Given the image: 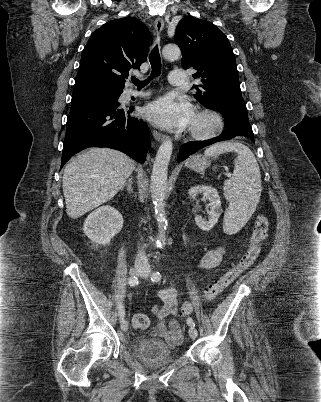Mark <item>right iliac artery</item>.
I'll use <instances>...</instances> for the list:
<instances>
[{
	"instance_id": "obj_1",
	"label": "right iliac artery",
	"mask_w": 321,
	"mask_h": 402,
	"mask_svg": "<svg viewBox=\"0 0 321 402\" xmlns=\"http://www.w3.org/2000/svg\"><path fill=\"white\" fill-rule=\"evenodd\" d=\"M128 284L130 286H136L138 284V278L135 277V276L130 277L128 279ZM118 310H119V312H118L119 319H120V322H122L124 320V317H125V309H124V305L122 303L119 305Z\"/></svg>"
}]
</instances>
